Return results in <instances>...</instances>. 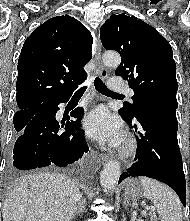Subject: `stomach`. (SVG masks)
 <instances>
[{
	"mask_svg": "<svg viewBox=\"0 0 190 221\" xmlns=\"http://www.w3.org/2000/svg\"><path fill=\"white\" fill-rule=\"evenodd\" d=\"M124 193L133 199H139L145 196V190L137 179H129L126 181Z\"/></svg>",
	"mask_w": 190,
	"mask_h": 221,
	"instance_id": "obj_1",
	"label": "stomach"
}]
</instances>
